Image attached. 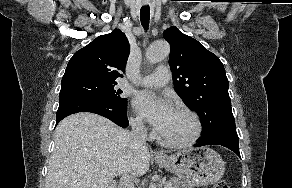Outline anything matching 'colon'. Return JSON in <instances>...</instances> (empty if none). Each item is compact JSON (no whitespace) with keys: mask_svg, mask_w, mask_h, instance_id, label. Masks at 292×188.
Segmentation results:
<instances>
[{"mask_svg":"<svg viewBox=\"0 0 292 188\" xmlns=\"http://www.w3.org/2000/svg\"><path fill=\"white\" fill-rule=\"evenodd\" d=\"M212 188H229V186L226 181H220L216 183Z\"/></svg>","mask_w":292,"mask_h":188,"instance_id":"1","label":"colon"}]
</instances>
